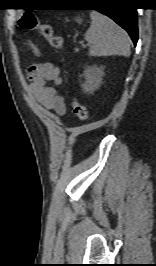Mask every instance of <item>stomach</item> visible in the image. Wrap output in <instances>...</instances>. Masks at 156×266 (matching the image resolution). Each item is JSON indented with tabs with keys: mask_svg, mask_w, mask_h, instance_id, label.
Instances as JSON below:
<instances>
[{
	"mask_svg": "<svg viewBox=\"0 0 156 266\" xmlns=\"http://www.w3.org/2000/svg\"><path fill=\"white\" fill-rule=\"evenodd\" d=\"M77 21H78L79 23H81V19H77Z\"/></svg>",
	"mask_w": 156,
	"mask_h": 266,
	"instance_id": "obj_1",
	"label": "stomach"
}]
</instances>
